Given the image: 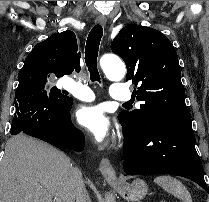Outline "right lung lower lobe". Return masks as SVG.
<instances>
[{
	"instance_id": "98d812e1",
	"label": "right lung lower lobe",
	"mask_w": 209,
	"mask_h": 202,
	"mask_svg": "<svg viewBox=\"0 0 209 202\" xmlns=\"http://www.w3.org/2000/svg\"><path fill=\"white\" fill-rule=\"evenodd\" d=\"M15 97L12 135L25 133L60 149L83 150V133L71 122V97L60 102L31 81L19 83Z\"/></svg>"
}]
</instances>
